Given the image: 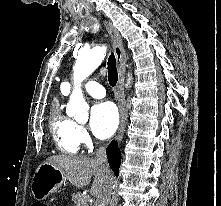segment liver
Instances as JSON below:
<instances>
[{"label":"liver","instance_id":"6515ba94","mask_svg":"<svg viewBox=\"0 0 221 206\" xmlns=\"http://www.w3.org/2000/svg\"><path fill=\"white\" fill-rule=\"evenodd\" d=\"M46 162L60 169L65 178L77 187L88 185L92 176H94L90 193L94 197L101 194L105 173L95 159L73 155H54L49 157Z\"/></svg>","mask_w":221,"mask_h":206}]
</instances>
